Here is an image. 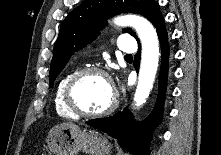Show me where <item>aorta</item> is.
<instances>
[{
    "instance_id": "1",
    "label": "aorta",
    "mask_w": 221,
    "mask_h": 155,
    "mask_svg": "<svg viewBox=\"0 0 221 155\" xmlns=\"http://www.w3.org/2000/svg\"><path fill=\"white\" fill-rule=\"evenodd\" d=\"M117 26L133 27L142 43L141 64L134 103L139 106L146 102L155 80L159 61V41L156 30L145 18L125 15L114 20Z\"/></svg>"
}]
</instances>
